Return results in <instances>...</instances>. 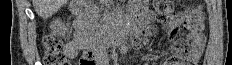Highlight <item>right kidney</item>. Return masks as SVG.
<instances>
[{
	"label": "right kidney",
	"mask_w": 232,
	"mask_h": 65,
	"mask_svg": "<svg viewBox=\"0 0 232 65\" xmlns=\"http://www.w3.org/2000/svg\"><path fill=\"white\" fill-rule=\"evenodd\" d=\"M50 28L59 35H64L68 31L67 27L58 19L51 23Z\"/></svg>",
	"instance_id": "obj_1"
}]
</instances>
